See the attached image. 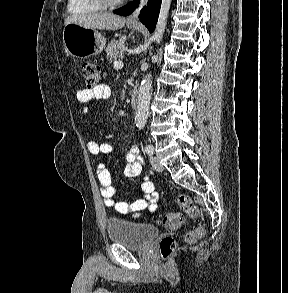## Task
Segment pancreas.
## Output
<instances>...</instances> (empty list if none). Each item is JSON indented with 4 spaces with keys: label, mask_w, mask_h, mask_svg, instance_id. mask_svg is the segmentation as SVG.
<instances>
[{
    "label": "pancreas",
    "mask_w": 288,
    "mask_h": 293,
    "mask_svg": "<svg viewBox=\"0 0 288 293\" xmlns=\"http://www.w3.org/2000/svg\"><path fill=\"white\" fill-rule=\"evenodd\" d=\"M125 39L121 38L119 40H112L108 47L106 48V57L110 59V61L115 60L117 58L122 57L125 50Z\"/></svg>",
    "instance_id": "pancreas-1"
}]
</instances>
